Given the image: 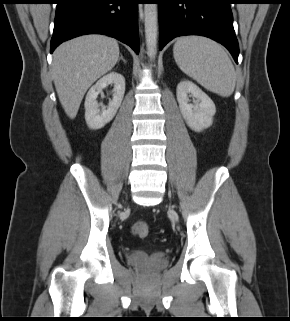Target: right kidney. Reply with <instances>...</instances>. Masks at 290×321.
<instances>
[{
    "label": "right kidney",
    "instance_id": "1",
    "mask_svg": "<svg viewBox=\"0 0 290 321\" xmlns=\"http://www.w3.org/2000/svg\"><path fill=\"white\" fill-rule=\"evenodd\" d=\"M114 84L113 98L108 107L99 104L97 97L108 85ZM125 93V78L115 71L100 78L88 91L85 99V120L89 128L100 129L109 123L117 113Z\"/></svg>",
    "mask_w": 290,
    "mask_h": 321
}]
</instances>
